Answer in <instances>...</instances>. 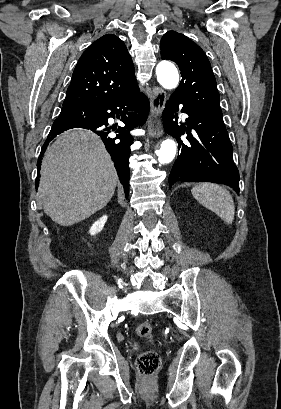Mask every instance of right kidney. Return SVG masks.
Here are the masks:
<instances>
[{
	"instance_id": "ca27d5eb",
	"label": "right kidney",
	"mask_w": 281,
	"mask_h": 409,
	"mask_svg": "<svg viewBox=\"0 0 281 409\" xmlns=\"http://www.w3.org/2000/svg\"><path fill=\"white\" fill-rule=\"evenodd\" d=\"M108 217L107 215H104V217H101V219H99V221H95V223H93L92 227H90V235H96V233H100V231H102L106 221H107Z\"/></svg>"
}]
</instances>
